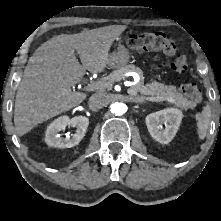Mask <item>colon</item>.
Returning a JSON list of instances; mask_svg holds the SVG:
<instances>
[{
    "mask_svg": "<svg viewBox=\"0 0 221 221\" xmlns=\"http://www.w3.org/2000/svg\"><path fill=\"white\" fill-rule=\"evenodd\" d=\"M128 45L135 51L143 52L156 50L173 57L170 67L173 71L183 74L188 71L187 59L177 53L175 41L162 32H143L130 36ZM191 105L200 104L202 101L201 90L195 83H184L179 87Z\"/></svg>",
    "mask_w": 221,
    "mask_h": 221,
    "instance_id": "colon-1",
    "label": "colon"
}]
</instances>
